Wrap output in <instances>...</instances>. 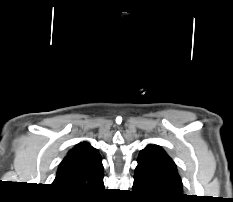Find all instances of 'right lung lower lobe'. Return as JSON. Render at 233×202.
Returning a JSON list of instances; mask_svg holds the SVG:
<instances>
[{"label":"right lung lower lobe","instance_id":"obj_1","mask_svg":"<svg viewBox=\"0 0 233 202\" xmlns=\"http://www.w3.org/2000/svg\"><path fill=\"white\" fill-rule=\"evenodd\" d=\"M103 188H101V189H99L98 191H96V192H94L93 194H90V195H87V196H90V197H92V196H95V195H97L98 193H99V191L100 190H102ZM61 191V190H60ZM63 192V191H62ZM64 193H67V192H64Z\"/></svg>","mask_w":233,"mask_h":202}]
</instances>
